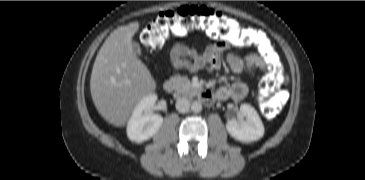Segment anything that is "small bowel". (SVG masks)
<instances>
[{"instance_id": "obj_1", "label": "small bowel", "mask_w": 365, "mask_h": 180, "mask_svg": "<svg viewBox=\"0 0 365 180\" xmlns=\"http://www.w3.org/2000/svg\"><path fill=\"white\" fill-rule=\"evenodd\" d=\"M250 31L255 39L260 40L259 34L256 31ZM166 54L175 69L183 68L191 72L203 69L208 71L219 69L222 54H225L227 65L236 75L243 73L247 69L265 71L267 68L262 54L251 52L240 57L234 52L228 51V46L222 43L210 44L202 51L186 45L174 44L167 48ZM247 94V84L238 81L218 88L214 96L220 100L233 99L239 101L245 98Z\"/></svg>"}]
</instances>
